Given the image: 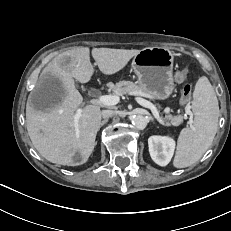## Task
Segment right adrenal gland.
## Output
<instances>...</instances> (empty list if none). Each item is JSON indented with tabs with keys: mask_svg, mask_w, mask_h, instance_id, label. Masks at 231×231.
Returning a JSON list of instances; mask_svg holds the SVG:
<instances>
[{
	"mask_svg": "<svg viewBox=\"0 0 231 231\" xmlns=\"http://www.w3.org/2000/svg\"><path fill=\"white\" fill-rule=\"evenodd\" d=\"M108 122V119H104L101 123H100V128L104 125V124H106Z\"/></svg>",
	"mask_w": 231,
	"mask_h": 231,
	"instance_id": "1",
	"label": "right adrenal gland"
}]
</instances>
